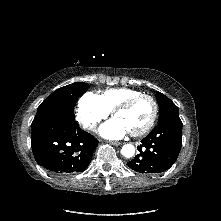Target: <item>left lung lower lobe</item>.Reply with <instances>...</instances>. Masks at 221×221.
I'll list each match as a JSON object with an SVG mask.
<instances>
[{"label":"left lung lower lobe","instance_id":"left-lung-lower-lobe-1","mask_svg":"<svg viewBox=\"0 0 221 221\" xmlns=\"http://www.w3.org/2000/svg\"><path fill=\"white\" fill-rule=\"evenodd\" d=\"M181 144V120L163 121L141 140L137 147L140 153L127 165L139 173H161L175 163Z\"/></svg>","mask_w":221,"mask_h":221}]
</instances>
